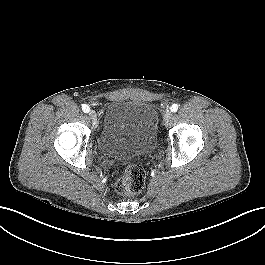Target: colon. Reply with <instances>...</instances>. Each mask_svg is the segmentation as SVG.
I'll use <instances>...</instances> for the list:
<instances>
[{
    "mask_svg": "<svg viewBox=\"0 0 265 265\" xmlns=\"http://www.w3.org/2000/svg\"><path fill=\"white\" fill-rule=\"evenodd\" d=\"M145 170L138 165L127 166L115 182L116 191L123 196L140 193L145 184Z\"/></svg>",
    "mask_w": 265,
    "mask_h": 265,
    "instance_id": "1",
    "label": "colon"
}]
</instances>
